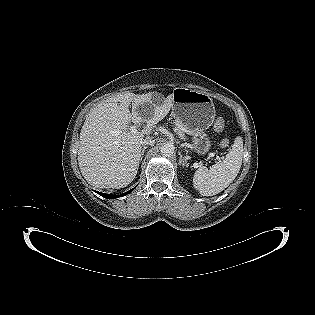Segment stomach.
I'll use <instances>...</instances> for the list:
<instances>
[{
  "label": "stomach",
  "instance_id": "0dacf381",
  "mask_svg": "<svg viewBox=\"0 0 315 315\" xmlns=\"http://www.w3.org/2000/svg\"><path fill=\"white\" fill-rule=\"evenodd\" d=\"M172 97V116L189 131L192 149L199 155H205L212 145L206 133L215 119L212 98L207 93L182 87L175 88Z\"/></svg>",
  "mask_w": 315,
  "mask_h": 315
}]
</instances>
